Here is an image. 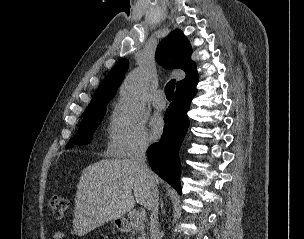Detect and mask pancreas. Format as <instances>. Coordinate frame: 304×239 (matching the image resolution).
<instances>
[{"label": "pancreas", "instance_id": "cf45deb5", "mask_svg": "<svg viewBox=\"0 0 304 239\" xmlns=\"http://www.w3.org/2000/svg\"><path fill=\"white\" fill-rule=\"evenodd\" d=\"M131 227H132V234L133 236H137L138 233H141V235H144L143 232V221H139L137 222L136 220H134L131 223Z\"/></svg>", "mask_w": 304, "mask_h": 239}]
</instances>
